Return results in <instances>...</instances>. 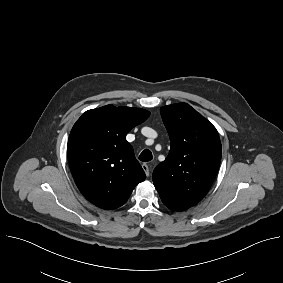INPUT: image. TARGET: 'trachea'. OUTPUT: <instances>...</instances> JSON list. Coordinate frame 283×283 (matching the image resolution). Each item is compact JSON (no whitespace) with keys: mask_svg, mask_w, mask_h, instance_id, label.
I'll return each mask as SVG.
<instances>
[{"mask_svg":"<svg viewBox=\"0 0 283 283\" xmlns=\"http://www.w3.org/2000/svg\"><path fill=\"white\" fill-rule=\"evenodd\" d=\"M153 159L152 153L150 150L145 149L140 155H139V160L142 162H148Z\"/></svg>","mask_w":283,"mask_h":283,"instance_id":"1","label":"trachea"}]
</instances>
